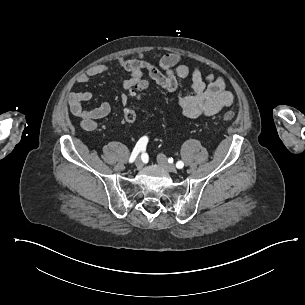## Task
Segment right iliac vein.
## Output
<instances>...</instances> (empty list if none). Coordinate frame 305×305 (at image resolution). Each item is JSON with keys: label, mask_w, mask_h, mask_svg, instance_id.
Listing matches in <instances>:
<instances>
[{"label": "right iliac vein", "mask_w": 305, "mask_h": 305, "mask_svg": "<svg viewBox=\"0 0 305 305\" xmlns=\"http://www.w3.org/2000/svg\"><path fill=\"white\" fill-rule=\"evenodd\" d=\"M135 166L137 169H141L143 167V161L140 158H137L135 161Z\"/></svg>", "instance_id": "obj_1"}]
</instances>
